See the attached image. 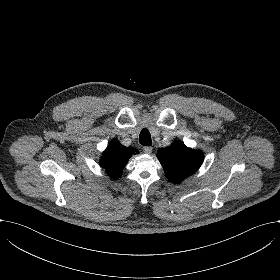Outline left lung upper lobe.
<instances>
[{
    "mask_svg": "<svg viewBox=\"0 0 280 280\" xmlns=\"http://www.w3.org/2000/svg\"><path fill=\"white\" fill-rule=\"evenodd\" d=\"M157 157L166 177L174 183H179L192 175L204 159L201 151H194L181 141H175L166 148L158 149Z\"/></svg>",
    "mask_w": 280,
    "mask_h": 280,
    "instance_id": "left-lung-upper-lobe-1",
    "label": "left lung upper lobe"
}]
</instances>
